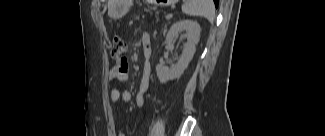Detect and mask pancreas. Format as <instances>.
Returning <instances> with one entry per match:
<instances>
[{
    "mask_svg": "<svg viewBox=\"0 0 325 136\" xmlns=\"http://www.w3.org/2000/svg\"><path fill=\"white\" fill-rule=\"evenodd\" d=\"M160 9H157L155 5H150L146 12H140L139 13V18L140 19H151L152 24H160L161 23V18L158 17L160 16Z\"/></svg>",
    "mask_w": 325,
    "mask_h": 136,
    "instance_id": "cf45deb5",
    "label": "pancreas"
}]
</instances>
